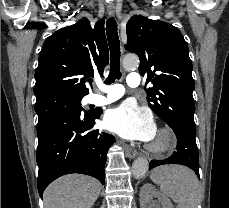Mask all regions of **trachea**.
Here are the masks:
<instances>
[{
    "label": "trachea",
    "mask_w": 229,
    "mask_h": 208,
    "mask_svg": "<svg viewBox=\"0 0 229 208\" xmlns=\"http://www.w3.org/2000/svg\"><path fill=\"white\" fill-rule=\"evenodd\" d=\"M106 34L110 48V73L105 80L107 85L119 80L122 76L120 71V41L118 37V26L116 20L108 18L106 24Z\"/></svg>",
    "instance_id": "3493384b"
}]
</instances>
